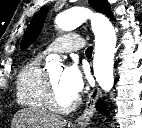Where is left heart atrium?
Returning a JSON list of instances; mask_svg holds the SVG:
<instances>
[{"mask_svg":"<svg viewBox=\"0 0 142 128\" xmlns=\"http://www.w3.org/2000/svg\"><path fill=\"white\" fill-rule=\"evenodd\" d=\"M88 80V73L85 68L74 63L65 68L61 75V86L72 96L80 94Z\"/></svg>","mask_w":142,"mask_h":128,"instance_id":"39dd6f15","label":"left heart atrium"}]
</instances>
